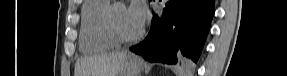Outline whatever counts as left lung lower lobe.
Returning a JSON list of instances; mask_svg holds the SVG:
<instances>
[{
  "mask_svg": "<svg viewBox=\"0 0 287 76\" xmlns=\"http://www.w3.org/2000/svg\"><path fill=\"white\" fill-rule=\"evenodd\" d=\"M214 0H169L161 15H154L145 40L130 50L150 62H198L207 37Z\"/></svg>",
  "mask_w": 287,
  "mask_h": 76,
  "instance_id": "obj_1",
  "label": "left lung lower lobe"
}]
</instances>
